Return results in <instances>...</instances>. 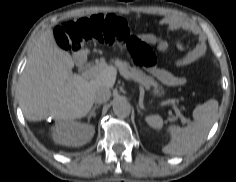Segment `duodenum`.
I'll list each match as a JSON object with an SVG mask.
<instances>
[{
    "label": "duodenum",
    "mask_w": 236,
    "mask_h": 182,
    "mask_svg": "<svg viewBox=\"0 0 236 182\" xmlns=\"http://www.w3.org/2000/svg\"><path fill=\"white\" fill-rule=\"evenodd\" d=\"M77 63L82 70H84L87 66V63L83 60V57L81 54H79L77 57Z\"/></svg>",
    "instance_id": "410a0bca"
}]
</instances>
